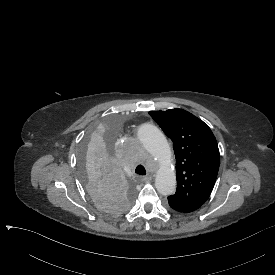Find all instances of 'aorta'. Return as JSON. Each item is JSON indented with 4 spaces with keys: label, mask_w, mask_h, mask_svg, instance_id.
Instances as JSON below:
<instances>
[{
    "label": "aorta",
    "mask_w": 275,
    "mask_h": 275,
    "mask_svg": "<svg viewBox=\"0 0 275 275\" xmlns=\"http://www.w3.org/2000/svg\"><path fill=\"white\" fill-rule=\"evenodd\" d=\"M138 138L149 145L148 154L155 161H162V166L155 176V187L161 195L175 193L176 174L167 160L171 158V151L164 134L153 124L144 123L138 129Z\"/></svg>",
    "instance_id": "762f6f07"
}]
</instances>
